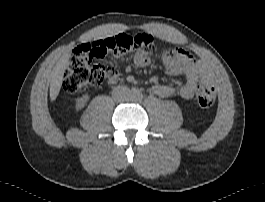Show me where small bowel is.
Listing matches in <instances>:
<instances>
[{"label":"small bowel","instance_id":"1","mask_svg":"<svg viewBox=\"0 0 265 202\" xmlns=\"http://www.w3.org/2000/svg\"><path fill=\"white\" fill-rule=\"evenodd\" d=\"M74 54L78 56L90 55L93 57H102L104 55L93 47V42L80 44L75 48ZM162 61L164 71L167 74H182L185 77V82L178 89L171 85L155 84L153 92L160 97L168 98L178 95L184 100H190L194 97L195 90L199 84L208 83L211 80L206 66L193 56L183 52L180 48L176 47L165 50L162 55ZM134 62L138 66H147L150 64V59L143 53H137L134 57ZM119 80L118 77L109 83L114 85ZM126 80L133 82L134 77L129 75Z\"/></svg>","mask_w":265,"mask_h":202}]
</instances>
